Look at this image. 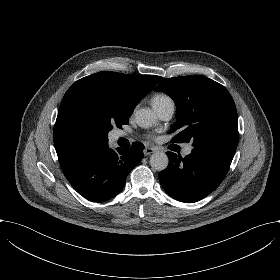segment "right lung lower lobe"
Returning <instances> with one entry per match:
<instances>
[{
  "instance_id": "right-lung-lower-lobe-1",
  "label": "right lung lower lobe",
  "mask_w": 280,
  "mask_h": 280,
  "mask_svg": "<svg viewBox=\"0 0 280 280\" xmlns=\"http://www.w3.org/2000/svg\"><path fill=\"white\" fill-rule=\"evenodd\" d=\"M143 149V144L135 143L130 149L114 151L105 144L81 153L61 168L80 195L103 202L122 190L128 174L142 160Z\"/></svg>"
}]
</instances>
